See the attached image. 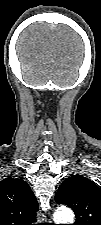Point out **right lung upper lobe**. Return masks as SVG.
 Segmentation results:
<instances>
[{
    "instance_id": "1",
    "label": "right lung upper lobe",
    "mask_w": 101,
    "mask_h": 225,
    "mask_svg": "<svg viewBox=\"0 0 101 225\" xmlns=\"http://www.w3.org/2000/svg\"><path fill=\"white\" fill-rule=\"evenodd\" d=\"M37 200L27 182L7 178L0 182V225H35Z\"/></svg>"
}]
</instances>
